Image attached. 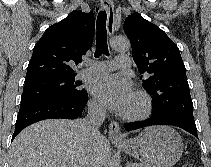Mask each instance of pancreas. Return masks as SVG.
<instances>
[{
  "label": "pancreas",
  "mask_w": 211,
  "mask_h": 167,
  "mask_svg": "<svg viewBox=\"0 0 211 167\" xmlns=\"http://www.w3.org/2000/svg\"><path fill=\"white\" fill-rule=\"evenodd\" d=\"M126 167H145L143 164H139V163H127Z\"/></svg>",
  "instance_id": "cf45deb5"
}]
</instances>
